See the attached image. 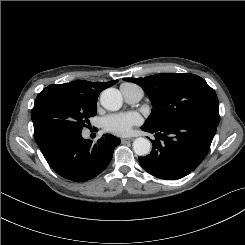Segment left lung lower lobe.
Instances as JSON below:
<instances>
[{
  "instance_id": "left-lung-lower-lobe-1",
  "label": "left lung lower lobe",
  "mask_w": 245,
  "mask_h": 245,
  "mask_svg": "<svg viewBox=\"0 0 245 245\" xmlns=\"http://www.w3.org/2000/svg\"><path fill=\"white\" fill-rule=\"evenodd\" d=\"M218 124L189 118L162 127L141 129L154 133L153 149L139 157L142 168L151 175L175 180L188 175L206 157Z\"/></svg>"
}]
</instances>
